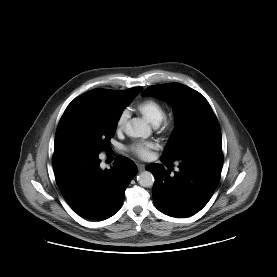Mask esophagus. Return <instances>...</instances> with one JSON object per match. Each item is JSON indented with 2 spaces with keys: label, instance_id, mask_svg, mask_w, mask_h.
<instances>
[{
  "label": "esophagus",
  "instance_id": "obj_1",
  "mask_svg": "<svg viewBox=\"0 0 277 277\" xmlns=\"http://www.w3.org/2000/svg\"><path fill=\"white\" fill-rule=\"evenodd\" d=\"M137 166H138V169L140 171H143L145 169V165L144 164H138Z\"/></svg>",
  "mask_w": 277,
  "mask_h": 277
}]
</instances>
